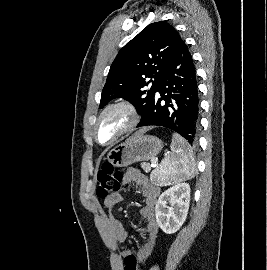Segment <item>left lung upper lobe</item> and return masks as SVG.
Wrapping results in <instances>:
<instances>
[{"instance_id":"obj_1","label":"left lung upper lobe","mask_w":267,"mask_h":270,"mask_svg":"<svg viewBox=\"0 0 267 270\" xmlns=\"http://www.w3.org/2000/svg\"><path fill=\"white\" fill-rule=\"evenodd\" d=\"M181 41L179 33L167 22L145 27L114 59L99 108L111 99L121 97L130 101L143 117L154 101ZM148 85L150 89L144 90Z\"/></svg>"}]
</instances>
